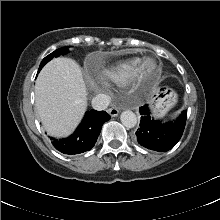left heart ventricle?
Segmentation results:
<instances>
[{"instance_id": "obj_1", "label": "left heart ventricle", "mask_w": 220, "mask_h": 220, "mask_svg": "<svg viewBox=\"0 0 220 220\" xmlns=\"http://www.w3.org/2000/svg\"><path fill=\"white\" fill-rule=\"evenodd\" d=\"M153 65H154L153 61L150 60L146 63V68L151 69V68H153Z\"/></svg>"}]
</instances>
